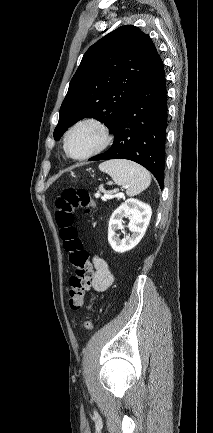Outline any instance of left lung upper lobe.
I'll list each match as a JSON object with an SVG mask.
<instances>
[{"instance_id":"5c2ea615","label":"left lung upper lobe","mask_w":213,"mask_h":433,"mask_svg":"<svg viewBox=\"0 0 213 433\" xmlns=\"http://www.w3.org/2000/svg\"><path fill=\"white\" fill-rule=\"evenodd\" d=\"M158 55L151 38L133 25L121 26L92 45L70 81L54 139L86 117L97 118L113 132Z\"/></svg>"}]
</instances>
